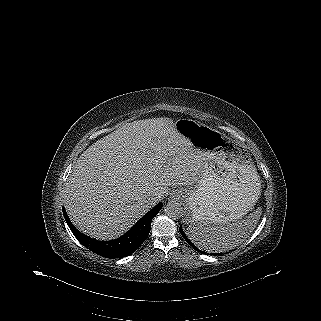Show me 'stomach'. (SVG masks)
<instances>
[{
    "label": "stomach",
    "mask_w": 321,
    "mask_h": 321,
    "mask_svg": "<svg viewBox=\"0 0 321 321\" xmlns=\"http://www.w3.org/2000/svg\"><path fill=\"white\" fill-rule=\"evenodd\" d=\"M175 128L191 142L203 163L196 184L173 193L188 206L187 221L227 224L241 219L254 207L261 188L250 155L198 121L179 119Z\"/></svg>",
    "instance_id": "1"
}]
</instances>
